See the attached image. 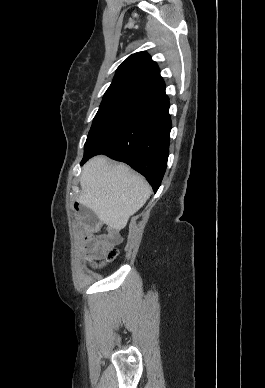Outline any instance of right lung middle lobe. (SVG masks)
Instances as JSON below:
<instances>
[{
  "instance_id": "1",
  "label": "right lung middle lobe",
  "mask_w": 265,
  "mask_h": 388,
  "mask_svg": "<svg viewBox=\"0 0 265 388\" xmlns=\"http://www.w3.org/2000/svg\"><path fill=\"white\" fill-rule=\"evenodd\" d=\"M129 94L105 93L84 145L88 154L101 140L120 127L147 103Z\"/></svg>"
}]
</instances>
